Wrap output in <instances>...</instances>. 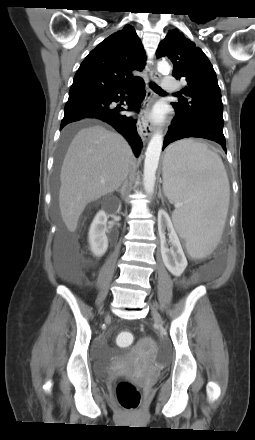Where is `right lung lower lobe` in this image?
<instances>
[{
    "mask_svg": "<svg viewBox=\"0 0 255 440\" xmlns=\"http://www.w3.org/2000/svg\"><path fill=\"white\" fill-rule=\"evenodd\" d=\"M131 86H136L137 90L126 103L128 111H140L141 102L144 99V82L141 78L130 83L123 84L112 90L103 92H93L69 97L65 109L64 118L61 122L62 129L71 122L79 121L84 118H97L112 125L121 133L131 145L136 157L139 156L142 147V140L137 133L136 120L132 117L120 114L126 109L113 107L112 102H118L121 96L128 92ZM120 94L121 96H119Z\"/></svg>",
    "mask_w": 255,
    "mask_h": 440,
    "instance_id": "obj_1",
    "label": "right lung lower lobe"
}]
</instances>
